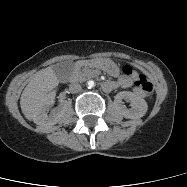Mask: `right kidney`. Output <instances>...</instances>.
<instances>
[{"label":"right kidney","mask_w":187,"mask_h":187,"mask_svg":"<svg viewBox=\"0 0 187 187\" xmlns=\"http://www.w3.org/2000/svg\"><path fill=\"white\" fill-rule=\"evenodd\" d=\"M55 93H51L46 102L45 106L40 110L36 120L34 121L37 125L42 127H50L56 124L59 118L62 116L64 112L63 107H59L58 109L54 110L52 113L47 115V109L49 106L54 104Z\"/></svg>","instance_id":"right-kidney-1"}]
</instances>
